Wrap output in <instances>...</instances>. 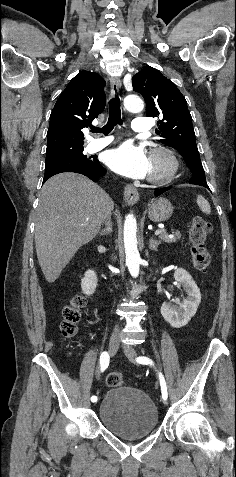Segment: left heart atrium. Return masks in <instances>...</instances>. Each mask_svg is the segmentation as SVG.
Listing matches in <instances>:
<instances>
[{
  "label": "left heart atrium",
  "mask_w": 236,
  "mask_h": 477,
  "mask_svg": "<svg viewBox=\"0 0 236 477\" xmlns=\"http://www.w3.org/2000/svg\"><path fill=\"white\" fill-rule=\"evenodd\" d=\"M105 162L113 171L130 178H144L150 172V158L146 150L130 142L109 150Z\"/></svg>",
  "instance_id": "1"
}]
</instances>
